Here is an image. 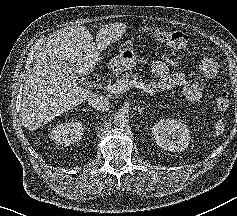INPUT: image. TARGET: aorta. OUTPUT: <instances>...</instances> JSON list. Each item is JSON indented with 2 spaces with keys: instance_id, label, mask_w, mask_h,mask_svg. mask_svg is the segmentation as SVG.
<instances>
[{
  "instance_id": "1",
  "label": "aorta",
  "mask_w": 237,
  "mask_h": 216,
  "mask_svg": "<svg viewBox=\"0 0 237 216\" xmlns=\"http://www.w3.org/2000/svg\"><path fill=\"white\" fill-rule=\"evenodd\" d=\"M129 122V114L126 111H118L114 114L113 124L117 127L123 128Z\"/></svg>"
}]
</instances>
